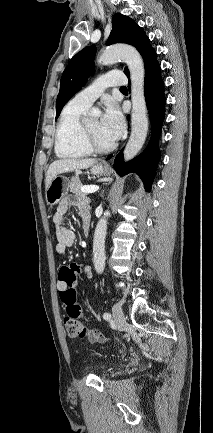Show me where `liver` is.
<instances>
[{
    "label": "liver",
    "instance_id": "liver-1",
    "mask_svg": "<svg viewBox=\"0 0 213 433\" xmlns=\"http://www.w3.org/2000/svg\"><path fill=\"white\" fill-rule=\"evenodd\" d=\"M97 163L96 159H60L54 161L46 173L45 188L47 189L51 181L61 173H67L80 169H87Z\"/></svg>",
    "mask_w": 213,
    "mask_h": 433
}]
</instances>
